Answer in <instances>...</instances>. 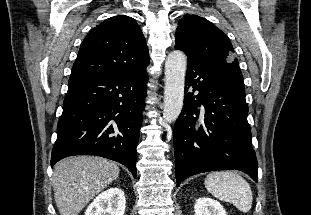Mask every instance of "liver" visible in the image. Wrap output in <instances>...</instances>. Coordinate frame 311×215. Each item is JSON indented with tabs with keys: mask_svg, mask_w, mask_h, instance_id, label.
I'll return each mask as SVG.
<instances>
[{
	"mask_svg": "<svg viewBox=\"0 0 311 215\" xmlns=\"http://www.w3.org/2000/svg\"><path fill=\"white\" fill-rule=\"evenodd\" d=\"M116 163L97 156L66 158L54 166L53 190L60 215H78L118 176Z\"/></svg>",
	"mask_w": 311,
	"mask_h": 215,
	"instance_id": "1",
	"label": "liver"
}]
</instances>
